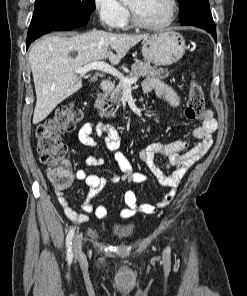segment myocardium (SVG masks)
I'll return each mask as SVG.
<instances>
[{"label": "myocardium", "mask_w": 247, "mask_h": 296, "mask_svg": "<svg viewBox=\"0 0 247 296\" xmlns=\"http://www.w3.org/2000/svg\"><path fill=\"white\" fill-rule=\"evenodd\" d=\"M168 4H169L168 16L163 22L158 23V24H148V23L142 22L137 17L133 8L128 5L132 24L140 29L151 30V31H157V30H162V29L167 28L168 26H170L173 23V21L176 17L177 1L176 0H168Z\"/></svg>", "instance_id": "1"}]
</instances>
